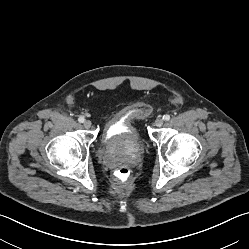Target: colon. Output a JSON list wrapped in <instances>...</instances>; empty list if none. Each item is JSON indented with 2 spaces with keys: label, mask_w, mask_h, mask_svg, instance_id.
<instances>
[{
  "label": "colon",
  "mask_w": 249,
  "mask_h": 249,
  "mask_svg": "<svg viewBox=\"0 0 249 249\" xmlns=\"http://www.w3.org/2000/svg\"><path fill=\"white\" fill-rule=\"evenodd\" d=\"M131 174H132V172L128 167L121 166L115 171L114 177L116 180H118L122 183H126L131 178Z\"/></svg>",
  "instance_id": "obj_1"
}]
</instances>
